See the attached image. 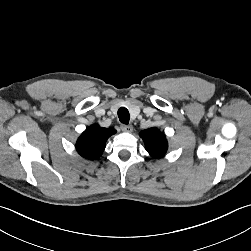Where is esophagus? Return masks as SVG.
Wrapping results in <instances>:
<instances>
[{"mask_svg": "<svg viewBox=\"0 0 251 251\" xmlns=\"http://www.w3.org/2000/svg\"><path fill=\"white\" fill-rule=\"evenodd\" d=\"M121 130H122L123 132H132L133 127H132V125H125V124H122V125H121Z\"/></svg>", "mask_w": 251, "mask_h": 251, "instance_id": "esophagus-1", "label": "esophagus"}]
</instances>
